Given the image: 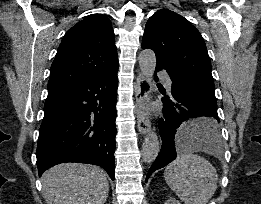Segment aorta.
Instances as JSON below:
<instances>
[{"label": "aorta", "mask_w": 261, "mask_h": 204, "mask_svg": "<svg viewBox=\"0 0 261 204\" xmlns=\"http://www.w3.org/2000/svg\"><path fill=\"white\" fill-rule=\"evenodd\" d=\"M139 67L143 76L151 81L155 67H156V56L154 51L151 49H145L140 52L138 56ZM160 151V142L157 134L154 131H149L146 135L142 145V159L145 163H152L158 156Z\"/></svg>", "instance_id": "obj_1"}]
</instances>
